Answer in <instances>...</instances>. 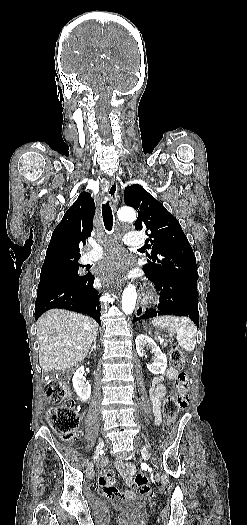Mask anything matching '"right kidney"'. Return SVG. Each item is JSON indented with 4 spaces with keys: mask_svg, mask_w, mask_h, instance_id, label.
I'll return each instance as SVG.
<instances>
[{
    "mask_svg": "<svg viewBox=\"0 0 247 525\" xmlns=\"http://www.w3.org/2000/svg\"><path fill=\"white\" fill-rule=\"evenodd\" d=\"M72 385L80 401H83V403H85V401H88V399H90L91 385L87 383L84 377V367H79V369L75 371L72 377Z\"/></svg>",
    "mask_w": 247,
    "mask_h": 525,
    "instance_id": "1",
    "label": "right kidney"
}]
</instances>
